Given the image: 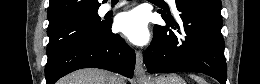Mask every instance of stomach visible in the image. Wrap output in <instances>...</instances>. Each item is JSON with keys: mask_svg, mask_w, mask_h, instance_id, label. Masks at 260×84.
<instances>
[{"mask_svg": "<svg viewBox=\"0 0 260 84\" xmlns=\"http://www.w3.org/2000/svg\"><path fill=\"white\" fill-rule=\"evenodd\" d=\"M148 84H186L184 79L179 75L172 73V74H162L158 77L153 78L149 81Z\"/></svg>", "mask_w": 260, "mask_h": 84, "instance_id": "0dacf381", "label": "stomach"}]
</instances>
